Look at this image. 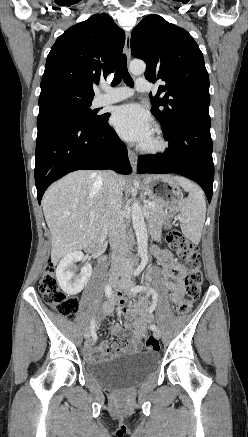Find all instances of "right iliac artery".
<instances>
[{"label": "right iliac artery", "mask_w": 248, "mask_h": 437, "mask_svg": "<svg viewBox=\"0 0 248 437\" xmlns=\"http://www.w3.org/2000/svg\"><path fill=\"white\" fill-rule=\"evenodd\" d=\"M105 294H106L107 298L111 297V295H112V288H111L110 285H106L105 286ZM90 328H91V332H92V339L96 340L97 336H96V334L94 332V329H95V320L94 319H92V321H91Z\"/></svg>", "instance_id": "82829eb1"}]
</instances>
